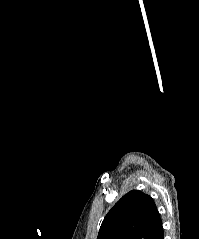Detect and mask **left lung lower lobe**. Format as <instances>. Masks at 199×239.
I'll return each mask as SVG.
<instances>
[{"mask_svg": "<svg viewBox=\"0 0 199 239\" xmlns=\"http://www.w3.org/2000/svg\"><path fill=\"white\" fill-rule=\"evenodd\" d=\"M152 239H164V233H163V226H162V221Z\"/></svg>", "mask_w": 199, "mask_h": 239, "instance_id": "left-lung-lower-lobe-1", "label": "left lung lower lobe"}]
</instances>
